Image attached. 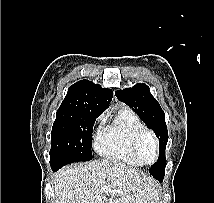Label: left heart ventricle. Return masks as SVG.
<instances>
[{"mask_svg": "<svg viewBox=\"0 0 214 203\" xmlns=\"http://www.w3.org/2000/svg\"><path fill=\"white\" fill-rule=\"evenodd\" d=\"M140 151L144 161L152 162L155 159V148L152 140L148 136L143 138Z\"/></svg>", "mask_w": 214, "mask_h": 203, "instance_id": "obj_1", "label": "left heart ventricle"}]
</instances>
